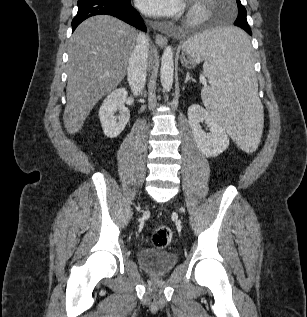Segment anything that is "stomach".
<instances>
[{"label":"stomach","instance_id":"obj_1","mask_svg":"<svg viewBox=\"0 0 307 317\" xmlns=\"http://www.w3.org/2000/svg\"><path fill=\"white\" fill-rule=\"evenodd\" d=\"M182 62H183L186 66H188V65H193V66H194V64H193L192 62H190L188 59H186L185 57L182 58Z\"/></svg>","mask_w":307,"mask_h":317}]
</instances>
